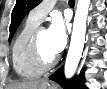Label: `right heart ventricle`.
Wrapping results in <instances>:
<instances>
[{"label":"right heart ventricle","instance_id":"right-heart-ventricle-1","mask_svg":"<svg viewBox=\"0 0 107 89\" xmlns=\"http://www.w3.org/2000/svg\"><path fill=\"white\" fill-rule=\"evenodd\" d=\"M36 22L28 16L18 31L11 48V60L15 72L22 78L33 79L42 74V70L35 67L28 55V46L32 34L38 28Z\"/></svg>","mask_w":107,"mask_h":89}]
</instances>
